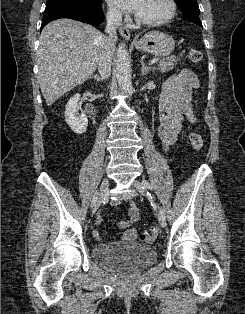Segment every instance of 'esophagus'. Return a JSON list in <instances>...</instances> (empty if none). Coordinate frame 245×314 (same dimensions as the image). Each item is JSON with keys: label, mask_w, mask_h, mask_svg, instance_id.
Segmentation results:
<instances>
[{"label": "esophagus", "mask_w": 245, "mask_h": 314, "mask_svg": "<svg viewBox=\"0 0 245 314\" xmlns=\"http://www.w3.org/2000/svg\"><path fill=\"white\" fill-rule=\"evenodd\" d=\"M119 33L126 39L129 40L131 37L130 31L126 27H119Z\"/></svg>", "instance_id": "34e87169"}]
</instances>
